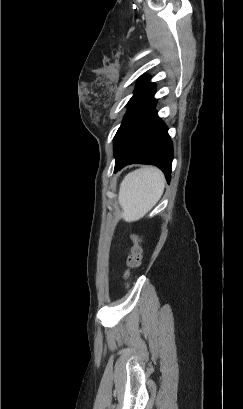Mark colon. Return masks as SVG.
Here are the masks:
<instances>
[{"label": "colon", "instance_id": "colon-1", "mask_svg": "<svg viewBox=\"0 0 243 409\" xmlns=\"http://www.w3.org/2000/svg\"><path fill=\"white\" fill-rule=\"evenodd\" d=\"M142 259V247L140 245V238L137 235L133 236V245L131 248V253L127 258V269L124 272V279L128 280L130 278V271L136 269L140 266Z\"/></svg>", "mask_w": 243, "mask_h": 409}]
</instances>
